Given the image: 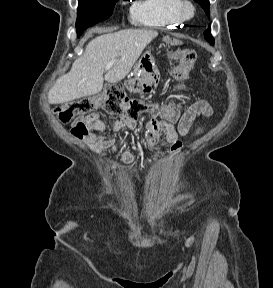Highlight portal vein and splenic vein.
<instances>
[{
    "mask_svg": "<svg viewBox=\"0 0 273 288\" xmlns=\"http://www.w3.org/2000/svg\"><path fill=\"white\" fill-rule=\"evenodd\" d=\"M114 61L108 63L105 67L106 70H109L113 66Z\"/></svg>",
    "mask_w": 273,
    "mask_h": 288,
    "instance_id": "18ae733b",
    "label": "portal vein and splenic vein"
}]
</instances>
